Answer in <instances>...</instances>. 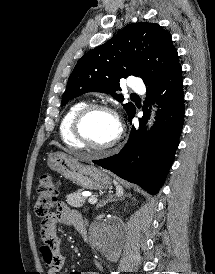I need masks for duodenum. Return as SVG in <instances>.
Listing matches in <instances>:
<instances>
[{
    "label": "duodenum",
    "instance_id": "410a0bca",
    "mask_svg": "<svg viewBox=\"0 0 215 274\" xmlns=\"http://www.w3.org/2000/svg\"><path fill=\"white\" fill-rule=\"evenodd\" d=\"M79 233L81 235H83L84 237H87V231H86V229H81Z\"/></svg>",
    "mask_w": 215,
    "mask_h": 274
}]
</instances>
